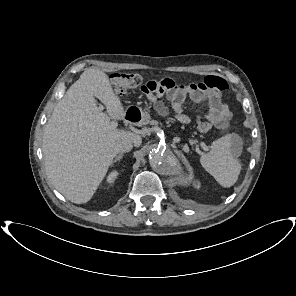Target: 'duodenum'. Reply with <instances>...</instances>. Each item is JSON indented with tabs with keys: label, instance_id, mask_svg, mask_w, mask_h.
I'll return each mask as SVG.
<instances>
[{
	"label": "duodenum",
	"instance_id": "410a0bca",
	"mask_svg": "<svg viewBox=\"0 0 296 296\" xmlns=\"http://www.w3.org/2000/svg\"><path fill=\"white\" fill-rule=\"evenodd\" d=\"M133 118H134V116H133V115H131V114H128V119L132 120Z\"/></svg>",
	"mask_w": 296,
	"mask_h": 296
}]
</instances>
